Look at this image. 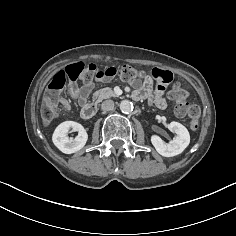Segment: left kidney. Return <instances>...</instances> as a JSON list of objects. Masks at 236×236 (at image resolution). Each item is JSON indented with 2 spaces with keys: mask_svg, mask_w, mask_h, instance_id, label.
Returning a JSON list of instances; mask_svg holds the SVG:
<instances>
[{
  "mask_svg": "<svg viewBox=\"0 0 236 236\" xmlns=\"http://www.w3.org/2000/svg\"><path fill=\"white\" fill-rule=\"evenodd\" d=\"M169 129L176 134L169 143L164 142L157 135L151 137L156 151L164 157H173L182 153L190 143V134L185 126L173 121L169 124Z\"/></svg>",
  "mask_w": 236,
  "mask_h": 236,
  "instance_id": "1",
  "label": "left kidney"
}]
</instances>
